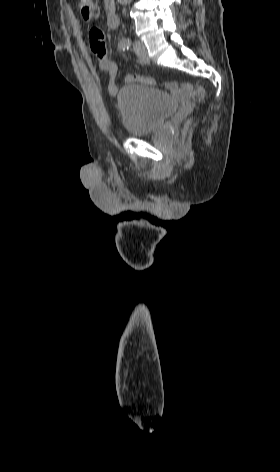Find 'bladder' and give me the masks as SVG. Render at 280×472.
Here are the masks:
<instances>
[{
    "mask_svg": "<svg viewBox=\"0 0 280 472\" xmlns=\"http://www.w3.org/2000/svg\"><path fill=\"white\" fill-rule=\"evenodd\" d=\"M178 108L168 93L144 85L128 84L117 93V109L128 137L158 130Z\"/></svg>",
    "mask_w": 280,
    "mask_h": 472,
    "instance_id": "bladder-1",
    "label": "bladder"
}]
</instances>
